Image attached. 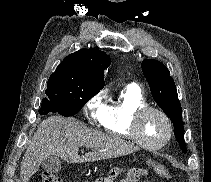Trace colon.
Instances as JSON below:
<instances>
[{
    "label": "colon",
    "mask_w": 211,
    "mask_h": 182,
    "mask_svg": "<svg viewBox=\"0 0 211 182\" xmlns=\"http://www.w3.org/2000/svg\"><path fill=\"white\" fill-rule=\"evenodd\" d=\"M153 170L162 178H168L169 172L162 165H154ZM146 173L144 169L133 168L125 173L121 182H136L141 176ZM119 169H112L106 175L96 178L93 182H114L115 179L119 176ZM42 182H62L61 177L53 172L45 171L42 173Z\"/></svg>",
    "instance_id": "colon-1"
}]
</instances>
